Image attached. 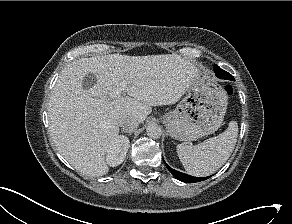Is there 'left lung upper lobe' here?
Instances as JSON below:
<instances>
[{
  "mask_svg": "<svg viewBox=\"0 0 292 224\" xmlns=\"http://www.w3.org/2000/svg\"><path fill=\"white\" fill-rule=\"evenodd\" d=\"M216 68H220V67L217 66L216 64H214V69H216ZM223 74H224V76L228 77V79H232V75H230L229 73H223Z\"/></svg>",
  "mask_w": 292,
  "mask_h": 224,
  "instance_id": "1",
  "label": "left lung upper lobe"
}]
</instances>
